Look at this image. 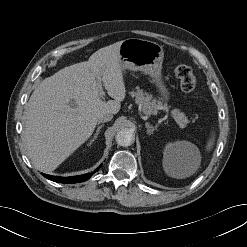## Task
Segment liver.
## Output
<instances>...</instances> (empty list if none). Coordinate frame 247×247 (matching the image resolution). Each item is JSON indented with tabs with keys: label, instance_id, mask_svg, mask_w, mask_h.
<instances>
[{
	"label": "liver",
	"instance_id": "1",
	"mask_svg": "<svg viewBox=\"0 0 247 247\" xmlns=\"http://www.w3.org/2000/svg\"><path fill=\"white\" fill-rule=\"evenodd\" d=\"M122 41L65 67L33 91L25 113L24 139L33 164L52 172L93 133L100 114H117L126 89L119 64ZM103 84L114 100L103 101ZM101 84V85H102Z\"/></svg>",
	"mask_w": 247,
	"mask_h": 247
}]
</instances>
